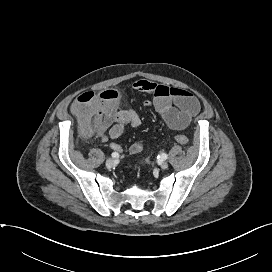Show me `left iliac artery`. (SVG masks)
Segmentation results:
<instances>
[{
    "instance_id": "obj_1",
    "label": "left iliac artery",
    "mask_w": 272,
    "mask_h": 272,
    "mask_svg": "<svg viewBox=\"0 0 272 272\" xmlns=\"http://www.w3.org/2000/svg\"><path fill=\"white\" fill-rule=\"evenodd\" d=\"M163 160H166L168 158V155L166 153L161 154L160 156Z\"/></svg>"
}]
</instances>
